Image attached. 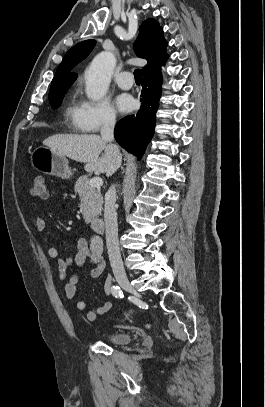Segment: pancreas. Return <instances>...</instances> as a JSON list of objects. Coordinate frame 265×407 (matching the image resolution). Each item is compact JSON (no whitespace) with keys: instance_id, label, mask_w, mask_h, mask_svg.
Segmentation results:
<instances>
[{"instance_id":"cf45deb5","label":"pancreas","mask_w":265,"mask_h":407,"mask_svg":"<svg viewBox=\"0 0 265 407\" xmlns=\"http://www.w3.org/2000/svg\"><path fill=\"white\" fill-rule=\"evenodd\" d=\"M89 181L87 176H81L74 187L80 197V211L87 222L101 215L103 205L100 188L91 187Z\"/></svg>"}]
</instances>
